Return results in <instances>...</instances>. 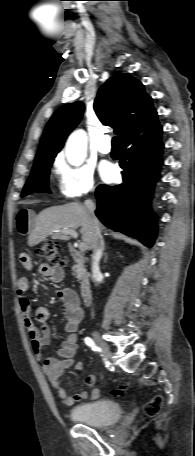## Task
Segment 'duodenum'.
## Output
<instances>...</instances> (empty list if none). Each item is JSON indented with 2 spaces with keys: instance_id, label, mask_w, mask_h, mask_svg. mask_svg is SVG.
<instances>
[{
  "instance_id": "obj_1",
  "label": "duodenum",
  "mask_w": 195,
  "mask_h": 456,
  "mask_svg": "<svg viewBox=\"0 0 195 456\" xmlns=\"http://www.w3.org/2000/svg\"><path fill=\"white\" fill-rule=\"evenodd\" d=\"M70 255L71 257L79 264L84 261L83 256L74 248H70ZM81 296L84 304L88 305L91 303L92 300V290L88 281H83L81 284Z\"/></svg>"
}]
</instances>
